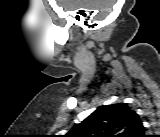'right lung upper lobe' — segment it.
Returning a JSON list of instances; mask_svg holds the SVG:
<instances>
[{
	"mask_svg": "<svg viewBox=\"0 0 160 137\" xmlns=\"http://www.w3.org/2000/svg\"><path fill=\"white\" fill-rule=\"evenodd\" d=\"M145 129L137 113L124 103L99 107L70 131L71 137H140Z\"/></svg>",
	"mask_w": 160,
	"mask_h": 137,
	"instance_id": "cb5924a9",
	"label": "right lung upper lobe"
}]
</instances>
